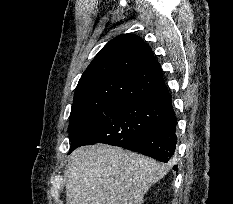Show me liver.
I'll return each instance as SVG.
<instances>
[{
	"instance_id": "obj_1",
	"label": "liver",
	"mask_w": 233,
	"mask_h": 204,
	"mask_svg": "<svg viewBox=\"0 0 233 204\" xmlns=\"http://www.w3.org/2000/svg\"><path fill=\"white\" fill-rule=\"evenodd\" d=\"M167 167L144 155L106 144L74 150L66 167V204H142Z\"/></svg>"
}]
</instances>
